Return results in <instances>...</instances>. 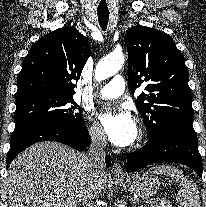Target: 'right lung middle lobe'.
Here are the masks:
<instances>
[{
    "label": "right lung middle lobe",
    "mask_w": 206,
    "mask_h": 207,
    "mask_svg": "<svg viewBox=\"0 0 206 207\" xmlns=\"http://www.w3.org/2000/svg\"><path fill=\"white\" fill-rule=\"evenodd\" d=\"M15 101L12 137L42 126H61L76 131L85 127L82 115L75 111L77 104L72 96L38 94Z\"/></svg>",
    "instance_id": "obj_1"
}]
</instances>
